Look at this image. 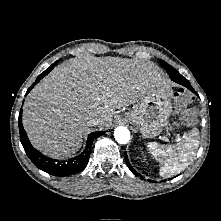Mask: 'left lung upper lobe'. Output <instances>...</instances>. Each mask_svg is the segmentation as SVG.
<instances>
[{
  "mask_svg": "<svg viewBox=\"0 0 221 221\" xmlns=\"http://www.w3.org/2000/svg\"><path fill=\"white\" fill-rule=\"evenodd\" d=\"M160 63L166 69V71L169 74L171 79H174V78H177V77L181 76V74L175 68H173L171 65H169L165 61L160 60Z\"/></svg>",
  "mask_w": 221,
  "mask_h": 221,
  "instance_id": "1",
  "label": "left lung upper lobe"
}]
</instances>
